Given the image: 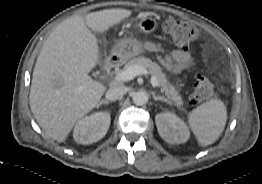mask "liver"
Returning <instances> with one entry per match:
<instances>
[{
    "instance_id": "6515ba94",
    "label": "liver",
    "mask_w": 262,
    "mask_h": 184,
    "mask_svg": "<svg viewBox=\"0 0 262 184\" xmlns=\"http://www.w3.org/2000/svg\"><path fill=\"white\" fill-rule=\"evenodd\" d=\"M131 14L126 9H106L85 17L72 16L44 42L33 70L29 99L37 123L53 140L64 142L106 90L88 75L99 61L98 42L91 30L104 33Z\"/></svg>"
}]
</instances>
